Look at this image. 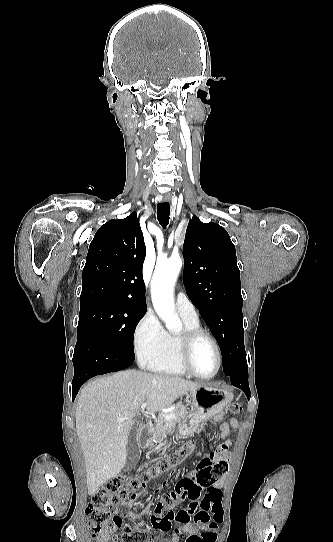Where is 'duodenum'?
<instances>
[{"instance_id":"duodenum-1","label":"duodenum","mask_w":333,"mask_h":542,"mask_svg":"<svg viewBox=\"0 0 333 542\" xmlns=\"http://www.w3.org/2000/svg\"><path fill=\"white\" fill-rule=\"evenodd\" d=\"M149 444V440L145 434H141L139 436V445L143 448L147 447Z\"/></svg>"}]
</instances>
